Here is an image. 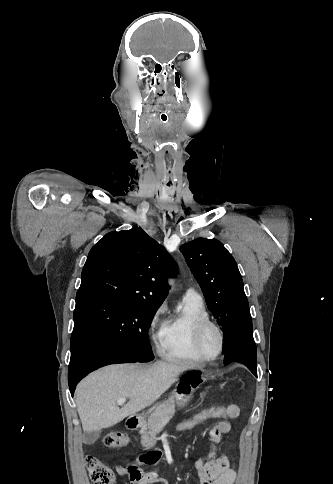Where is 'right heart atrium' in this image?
Instances as JSON below:
<instances>
[{
	"mask_svg": "<svg viewBox=\"0 0 333 484\" xmlns=\"http://www.w3.org/2000/svg\"><path fill=\"white\" fill-rule=\"evenodd\" d=\"M164 311H165V306L164 305L159 306L151 315L148 321V333L153 342H156L157 339L159 338V335L156 333V328L159 324V321Z\"/></svg>",
	"mask_w": 333,
	"mask_h": 484,
	"instance_id": "d8ad5b80",
	"label": "right heart atrium"
}]
</instances>
